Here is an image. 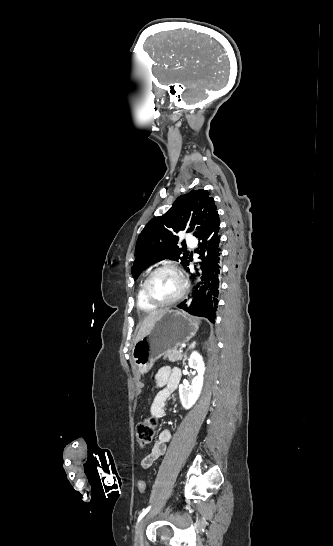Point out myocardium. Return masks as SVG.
Masks as SVG:
<instances>
[{
    "label": "myocardium",
    "mask_w": 333,
    "mask_h": 546,
    "mask_svg": "<svg viewBox=\"0 0 333 546\" xmlns=\"http://www.w3.org/2000/svg\"><path fill=\"white\" fill-rule=\"evenodd\" d=\"M164 270L172 271L177 275V277H178V279L180 281V291L174 298H172L170 300H167V301H160V300H157L156 298H154L151 295V293L149 292V283H150L152 277L155 274H157L160 271H164ZM185 292H186V282H185L179 268L177 266L173 265V264H163V265H160V266L156 267L154 270H152L148 274V276L145 278V280L143 282L144 297L146 298V300L149 303H151L152 305L157 306V307H163V306H169V305L175 304L176 302H178L184 296Z\"/></svg>",
    "instance_id": "1"
}]
</instances>
